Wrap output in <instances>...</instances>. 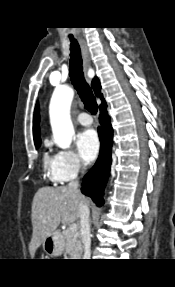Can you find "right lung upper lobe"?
<instances>
[{"instance_id":"right-lung-upper-lobe-1","label":"right lung upper lobe","mask_w":175,"mask_h":287,"mask_svg":"<svg viewBox=\"0 0 175 287\" xmlns=\"http://www.w3.org/2000/svg\"><path fill=\"white\" fill-rule=\"evenodd\" d=\"M91 86L95 92V95L102 100V103L100 105V107H101L106 102H105L103 95L101 93V85H100V81L97 77H94V79L92 80ZM38 113H39V108H38V103H37L36 108H35V112H34V121H33L34 122L33 136H34V142L35 143L40 142V130H39L38 123H37Z\"/></svg>"}]
</instances>
